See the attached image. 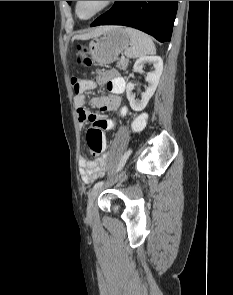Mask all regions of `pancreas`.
<instances>
[{
	"instance_id": "obj_1",
	"label": "pancreas",
	"mask_w": 233,
	"mask_h": 295,
	"mask_svg": "<svg viewBox=\"0 0 233 295\" xmlns=\"http://www.w3.org/2000/svg\"><path fill=\"white\" fill-rule=\"evenodd\" d=\"M128 59H121L119 62H117V68H119L120 70H126L127 66H128Z\"/></svg>"
}]
</instances>
